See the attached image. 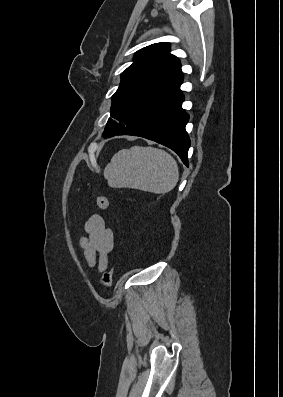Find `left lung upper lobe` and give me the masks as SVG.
Returning <instances> with one entry per match:
<instances>
[{
    "instance_id": "obj_1",
    "label": "left lung upper lobe",
    "mask_w": 283,
    "mask_h": 397,
    "mask_svg": "<svg viewBox=\"0 0 283 397\" xmlns=\"http://www.w3.org/2000/svg\"><path fill=\"white\" fill-rule=\"evenodd\" d=\"M183 73L179 59L170 54L169 44L155 43L136 52L134 63L121 74L112 96L111 117L103 136H114L160 101L180 91Z\"/></svg>"
}]
</instances>
